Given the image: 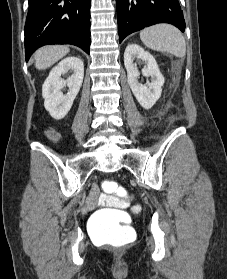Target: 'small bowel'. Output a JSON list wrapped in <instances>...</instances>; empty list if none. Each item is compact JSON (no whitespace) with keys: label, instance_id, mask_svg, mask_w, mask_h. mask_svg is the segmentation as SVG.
I'll list each match as a JSON object with an SVG mask.
<instances>
[{"label":"small bowel","instance_id":"1","mask_svg":"<svg viewBox=\"0 0 227 279\" xmlns=\"http://www.w3.org/2000/svg\"><path fill=\"white\" fill-rule=\"evenodd\" d=\"M103 205L114 206V207L125 209L129 207V202L125 199L106 196L101 193L97 185H93L86 198L85 205L83 206V210L88 212L93 210L96 206H103ZM138 208L139 207L137 205L131 207L133 211L138 210Z\"/></svg>","mask_w":227,"mask_h":279}]
</instances>
